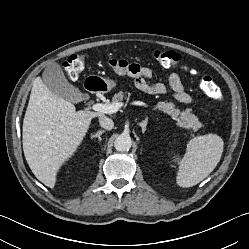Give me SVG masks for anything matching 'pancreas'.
<instances>
[{"mask_svg": "<svg viewBox=\"0 0 249 249\" xmlns=\"http://www.w3.org/2000/svg\"><path fill=\"white\" fill-rule=\"evenodd\" d=\"M124 92L119 91L117 94L114 95L112 98L113 103H117L123 100ZM155 109H158L168 115H170L173 119L178 121V125L185 129H192L197 131L202 124L199 122L198 118L191 112V109H186L183 112H180L179 109L175 108V105L171 102H158L155 105Z\"/></svg>", "mask_w": 249, "mask_h": 249, "instance_id": "cf45deb5", "label": "pancreas"}]
</instances>
